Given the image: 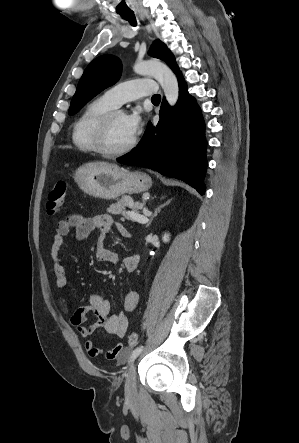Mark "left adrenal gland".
<instances>
[{
	"label": "left adrenal gland",
	"instance_id": "1",
	"mask_svg": "<svg viewBox=\"0 0 299 443\" xmlns=\"http://www.w3.org/2000/svg\"><path fill=\"white\" fill-rule=\"evenodd\" d=\"M170 203V200L167 201L166 203L162 204L161 206H159L157 209H155L154 214L152 215V217L150 218L149 223L147 224V227L151 224V222L153 221V219L157 216V214L161 211V209L163 207H165L166 205H168Z\"/></svg>",
	"mask_w": 299,
	"mask_h": 443
}]
</instances>
